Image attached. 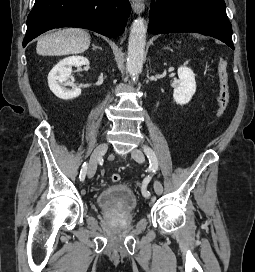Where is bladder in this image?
<instances>
[{
    "label": "bladder",
    "instance_id": "bladder-1",
    "mask_svg": "<svg viewBox=\"0 0 255 272\" xmlns=\"http://www.w3.org/2000/svg\"><path fill=\"white\" fill-rule=\"evenodd\" d=\"M95 201L99 207L119 211H133L138 202L135 193L125 184L104 188L97 194Z\"/></svg>",
    "mask_w": 255,
    "mask_h": 272
}]
</instances>
